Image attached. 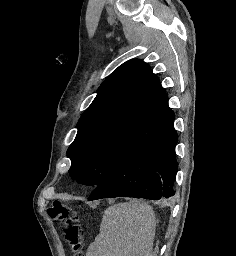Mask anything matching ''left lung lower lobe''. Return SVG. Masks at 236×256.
Here are the masks:
<instances>
[{
    "instance_id": "1",
    "label": "left lung lower lobe",
    "mask_w": 236,
    "mask_h": 256,
    "mask_svg": "<svg viewBox=\"0 0 236 256\" xmlns=\"http://www.w3.org/2000/svg\"><path fill=\"white\" fill-rule=\"evenodd\" d=\"M174 118L168 103L148 117L132 134L116 164L88 200L160 199L174 195L173 184L178 170Z\"/></svg>"
}]
</instances>
